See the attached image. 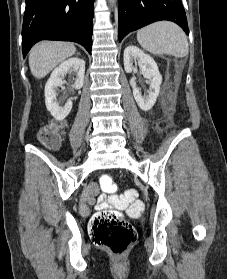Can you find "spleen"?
<instances>
[{"mask_svg":"<svg viewBox=\"0 0 227 279\" xmlns=\"http://www.w3.org/2000/svg\"><path fill=\"white\" fill-rule=\"evenodd\" d=\"M141 47L154 54H169L177 58L188 55L189 46L185 33L175 23L156 22L137 32Z\"/></svg>","mask_w":227,"mask_h":279,"instance_id":"3e777b00","label":"spleen"}]
</instances>
